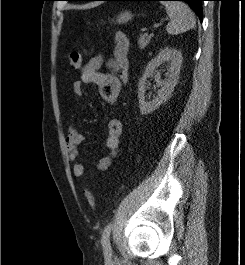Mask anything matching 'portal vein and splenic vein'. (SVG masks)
Segmentation results:
<instances>
[{
    "instance_id": "18ae733b",
    "label": "portal vein and splenic vein",
    "mask_w": 245,
    "mask_h": 265,
    "mask_svg": "<svg viewBox=\"0 0 245 265\" xmlns=\"http://www.w3.org/2000/svg\"><path fill=\"white\" fill-rule=\"evenodd\" d=\"M159 26V24H157V25H155V27H158ZM153 35V34H152Z\"/></svg>"
}]
</instances>
